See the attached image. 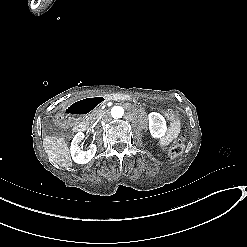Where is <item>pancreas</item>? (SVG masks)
I'll list each match as a JSON object with an SVG mask.
<instances>
[{"label": "pancreas", "instance_id": "pancreas-1", "mask_svg": "<svg viewBox=\"0 0 247 247\" xmlns=\"http://www.w3.org/2000/svg\"><path fill=\"white\" fill-rule=\"evenodd\" d=\"M101 114H103V111L101 109H95L89 114V116H87L86 121L89 124H92Z\"/></svg>", "mask_w": 247, "mask_h": 247}]
</instances>
